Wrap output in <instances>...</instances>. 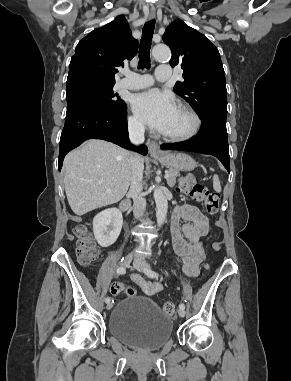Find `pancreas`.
Returning a JSON list of instances; mask_svg holds the SVG:
<instances>
[{
	"instance_id": "cf45deb5",
	"label": "pancreas",
	"mask_w": 291,
	"mask_h": 381,
	"mask_svg": "<svg viewBox=\"0 0 291 381\" xmlns=\"http://www.w3.org/2000/svg\"><path fill=\"white\" fill-rule=\"evenodd\" d=\"M179 176L178 170H169V178L167 179V183L170 187H173L176 183V178Z\"/></svg>"
}]
</instances>
